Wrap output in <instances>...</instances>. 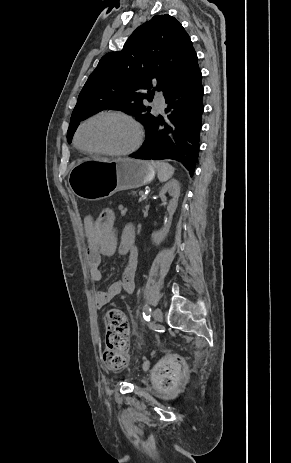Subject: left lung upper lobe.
<instances>
[{"label":"left lung upper lobe","mask_w":291,"mask_h":463,"mask_svg":"<svg viewBox=\"0 0 291 463\" xmlns=\"http://www.w3.org/2000/svg\"><path fill=\"white\" fill-rule=\"evenodd\" d=\"M198 67L197 54L182 25L167 14L154 16L133 32L121 51L100 59L78 96L68 143L82 120L104 109L131 114L146 130L155 116L143 100L153 99L155 89L167 94ZM147 89L149 96L144 93Z\"/></svg>","instance_id":"5c2ea615"}]
</instances>
